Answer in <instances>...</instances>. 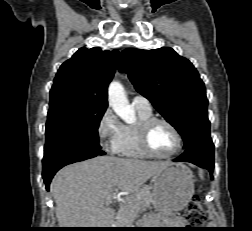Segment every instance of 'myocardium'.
<instances>
[{
    "label": "myocardium",
    "mask_w": 252,
    "mask_h": 231,
    "mask_svg": "<svg viewBox=\"0 0 252 231\" xmlns=\"http://www.w3.org/2000/svg\"><path fill=\"white\" fill-rule=\"evenodd\" d=\"M157 123H162L165 124L170 130L173 132L175 138H176V147L175 149L167 154V155H161L156 153L150 146L149 143V134L152 129V127L157 124ZM138 141L140 144V147L142 150L148 154L151 157L159 158V159H169L178 154V152L181 150L182 145H183V139L182 136L179 132V130L176 128V126L171 123L169 120L165 118H159V117H150L144 121H141L138 124Z\"/></svg>",
    "instance_id": "f54148a6"
}]
</instances>
